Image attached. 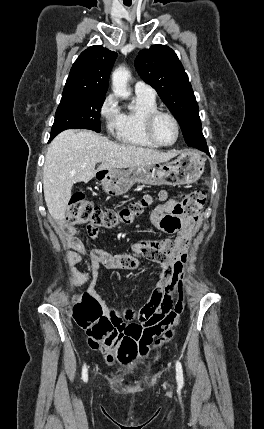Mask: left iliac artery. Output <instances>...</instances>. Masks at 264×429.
Segmentation results:
<instances>
[{"label":"left iliac artery","instance_id":"obj_1","mask_svg":"<svg viewBox=\"0 0 264 429\" xmlns=\"http://www.w3.org/2000/svg\"><path fill=\"white\" fill-rule=\"evenodd\" d=\"M176 378L177 382L182 385L183 384V370L182 365L179 361L176 362Z\"/></svg>","mask_w":264,"mask_h":429}]
</instances>
